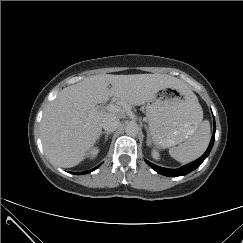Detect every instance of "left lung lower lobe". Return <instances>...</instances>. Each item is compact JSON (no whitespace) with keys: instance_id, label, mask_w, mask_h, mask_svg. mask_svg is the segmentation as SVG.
I'll return each instance as SVG.
<instances>
[{"instance_id":"left-lung-lower-lobe-1","label":"left lung lower lobe","mask_w":243,"mask_h":243,"mask_svg":"<svg viewBox=\"0 0 243 243\" xmlns=\"http://www.w3.org/2000/svg\"><path fill=\"white\" fill-rule=\"evenodd\" d=\"M215 130H216V126H215V122H214V131H213V135L210 141V144L208 146V149L206 150V152L197 160L184 165L181 168L178 169H167V168H162L159 167L157 165L152 164L151 162L145 160V162L152 168L154 169L157 173L162 174L164 176H168V177H175V176H182V175H186L188 173H190L191 171L195 170L197 167H199L201 165V163L206 159V157L209 155L213 144H214V140H215Z\"/></svg>"}]
</instances>
